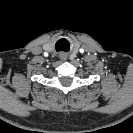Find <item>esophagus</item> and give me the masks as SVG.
<instances>
[{"instance_id": "esophagus-1", "label": "esophagus", "mask_w": 133, "mask_h": 133, "mask_svg": "<svg viewBox=\"0 0 133 133\" xmlns=\"http://www.w3.org/2000/svg\"><path fill=\"white\" fill-rule=\"evenodd\" d=\"M61 58H62V59H65V56L63 55Z\"/></svg>"}]
</instances>
